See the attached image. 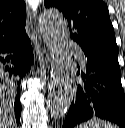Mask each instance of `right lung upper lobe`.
Returning <instances> with one entry per match:
<instances>
[{"mask_svg":"<svg viewBox=\"0 0 125 128\" xmlns=\"http://www.w3.org/2000/svg\"><path fill=\"white\" fill-rule=\"evenodd\" d=\"M25 9L23 0H0V44L25 33Z\"/></svg>","mask_w":125,"mask_h":128,"instance_id":"obj_1","label":"right lung upper lobe"}]
</instances>
